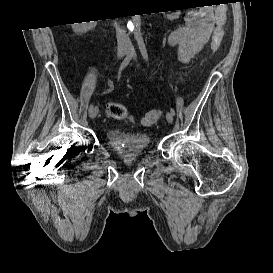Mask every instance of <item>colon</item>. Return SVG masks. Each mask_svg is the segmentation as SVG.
<instances>
[{"label":"colon","mask_w":273,"mask_h":273,"mask_svg":"<svg viewBox=\"0 0 273 273\" xmlns=\"http://www.w3.org/2000/svg\"><path fill=\"white\" fill-rule=\"evenodd\" d=\"M221 43V30H217L211 41V49L213 53H217L220 48ZM105 112L107 116L118 119V120H128L133 121L130 116L127 108L121 104L116 102H110L106 105ZM162 116V111L160 109H152L148 111L142 118L141 124L144 126H150L156 121L160 119Z\"/></svg>","instance_id":"1"}]
</instances>
